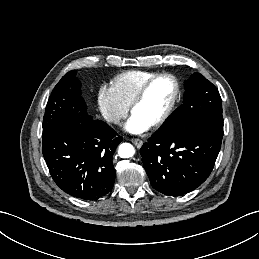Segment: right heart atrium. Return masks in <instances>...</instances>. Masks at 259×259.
<instances>
[{
	"mask_svg": "<svg viewBox=\"0 0 259 259\" xmlns=\"http://www.w3.org/2000/svg\"><path fill=\"white\" fill-rule=\"evenodd\" d=\"M97 101L103 117L110 123L119 124L129 112L128 106L110 87L102 86L99 89Z\"/></svg>",
	"mask_w": 259,
	"mask_h": 259,
	"instance_id": "d8ad5b80",
	"label": "right heart atrium"
}]
</instances>
